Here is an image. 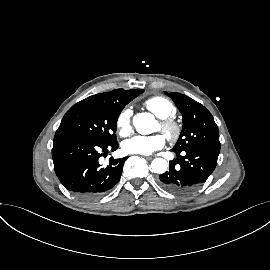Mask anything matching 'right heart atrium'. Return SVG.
<instances>
[{
	"instance_id": "obj_1",
	"label": "right heart atrium",
	"mask_w": 270,
	"mask_h": 270,
	"mask_svg": "<svg viewBox=\"0 0 270 270\" xmlns=\"http://www.w3.org/2000/svg\"><path fill=\"white\" fill-rule=\"evenodd\" d=\"M132 111L126 107L122 109L117 115L115 125L119 134L123 137L128 136L132 131L131 121Z\"/></svg>"
}]
</instances>
